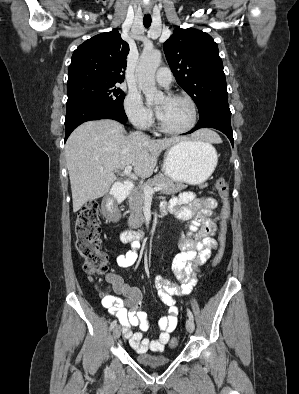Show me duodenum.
<instances>
[{"instance_id":"410a0bca","label":"duodenum","mask_w":299,"mask_h":394,"mask_svg":"<svg viewBox=\"0 0 299 394\" xmlns=\"http://www.w3.org/2000/svg\"><path fill=\"white\" fill-rule=\"evenodd\" d=\"M125 188L128 192L132 191L133 184L129 183L125 186ZM125 197L126 194L119 191L110 193L108 196H106L103 203L104 215L109 219H115L116 204L123 201ZM121 237L123 242H132L134 240L141 239L143 237V232L126 230L122 233Z\"/></svg>"}]
</instances>
